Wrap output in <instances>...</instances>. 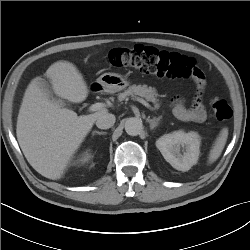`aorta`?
<instances>
[{
	"label": "aorta",
	"mask_w": 250,
	"mask_h": 250,
	"mask_svg": "<svg viewBox=\"0 0 250 250\" xmlns=\"http://www.w3.org/2000/svg\"><path fill=\"white\" fill-rule=\"evenodd\" d=\"M143 125L140 119L131 117L125 122V131L128 135L136 136L142 131Z\"/></svg>",
	"instance_id": "aorta-1"
}]
</instances>
